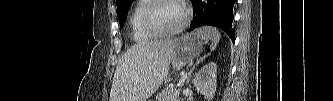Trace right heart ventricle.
I'll use <instances>...</instances> for the list:
<instances>
[{"label": "right heart ventricle", "mask_w": 333, "mask_h": 101, "mask_svg": "<svg viewBox=\"0 0 333 101\" xmlns=\"http://www.w3.org/2000/svg\"><path fill=\"white\" fill-rule=\"evenodd\" d=\"M150 2L148 0L138 1L131 12L129 27L131 37L136 42H148L154 39V36L145 31L142 25L143 12Z\"/></svg>", "instance_id": "right-heart-ventricle-1"}]
</instances>
